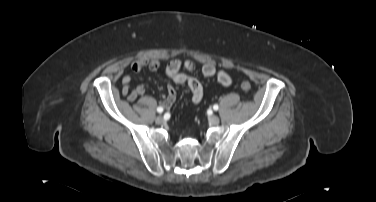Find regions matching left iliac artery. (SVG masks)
Masks as SVG:
<instances>
[{"instance_id":"1","label":"left iliac artery","mask_w":376,"mask_h":202,"mask_svg":"<svg viewBox=\"0 0 376 202\" xmlns=\"http://www.w3.org/2000/svg\"><path fill=\"white\" fill-rule=\"evenodd\" d=\"M213 109H214V110H218V109H219V106H218L217 104H215V105L213 106Z\"/></svg>"}]
</instances>
